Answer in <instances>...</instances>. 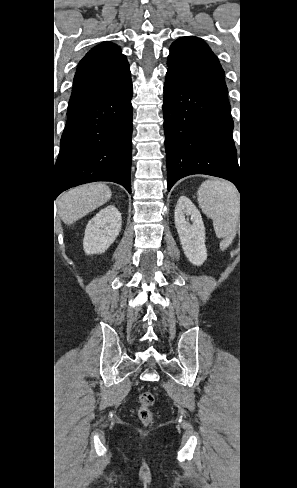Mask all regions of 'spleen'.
Wrapping results in <instances>:
<instances>
[{"label":"spleen","mask_w":297,"mask_h":488,"mask_svg":"<svg viewBox=\"0 0 297 488\" xmlns=\"http://www.w3.org/2000/svg\"><path fill=\"white\" fill-rule=\"evenodd\" d=\"M198 202L202 211L213 220L220 238L232 232L238 213L239 196L234 186L225 181L208 180L201 184Z\"/></svg>","instance_id":"3e777b00"}]
</instances>
